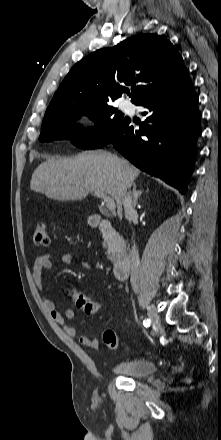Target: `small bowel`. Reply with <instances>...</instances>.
I'll list each match as a JSON object with an SVG mask.
<instances>
[{
  "mask_svg": "<svg viewBox=\"0 0 221 440\" xmlns=\"http://www.w3.org/2000/svg\"><path fill=\"white\" fill-rule=\"evenodd\" d=\"M59 263L63 264V265H76L86 271L91 270V265L87 261L81 259L79 256H77L75 254L67 253V254L62 255L59 259ZM54 267H55V263H54L53 254H51V253L39 254L33 262L32 279H33V282H34L36 289L42 295L43 304H44L45 308L49 311L52 319L57 324L62 326L65 334L68 337L75 338L78 335L77 329L73 326L67 325L66 320L73 318L75 315V310H74L75 298L80 293L78 288L73 284H68L66 286L65 291L71 300L72 306L67 308L66 311L64 312V314L59 312L56 309L55 304L51 300L45 298L43 295V293H44L43 271L44 270H51ZM79 342L83 346L88 347L90 349H94V350L98 349L99 345H100L98 339L91 338V337L85 336V335H82L79 337Z\"/></svg>",
  "mask_w": 221,
  "mask_h": 440,
  "instance_id": "1",
  "label": "small bowel"
}]
</instances>
